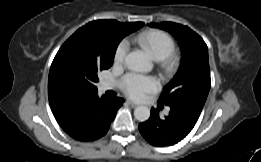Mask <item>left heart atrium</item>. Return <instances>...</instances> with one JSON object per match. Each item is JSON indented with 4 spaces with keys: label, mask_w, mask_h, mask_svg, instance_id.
<instances>
[{
    "label": "left heart atrium",
    "mask_w": 261,
    "mask_h": 162,
    "mask_svg": "<svg viewBox=\"0 0 261 162\" xmlns=\"http://www.w3.org/2000/svg\"><path fill=\"white\" fill-rule=\"evenodd\" d=\"M126 93L133 99H141L145 94L158 89L159 83L154 77L128 74L122 80Z\"/></svg>",
    "instance_id": "1"
}]
</instances>
